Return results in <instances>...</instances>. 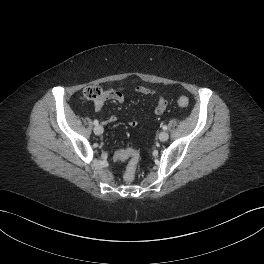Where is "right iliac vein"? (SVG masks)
<instances>
[{
    "label": "right iliac vein",
    "mask_w": 264,
    "mask_h": 264,
    "mask_svg": "<svg viewBox=\"0 0 264 264\" xmlns=\"http://www.w3.org/2000/svg\"><path fill=\"white\" fill-rule=\"evenodd\" d=\"M103 131H104V129H103V127L101 125H96L94 127V133L96 135H101L103 133Z\"/></svg>",
    "instance_id": "obj_1"
}]
</instances>
